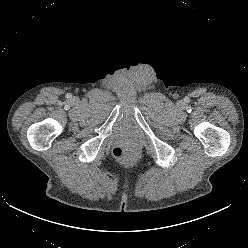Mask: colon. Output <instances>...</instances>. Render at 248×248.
I'll list each match as a JSON object with an SVG mask.
<instances>
[{
  "label": "colon",
  "mask_w": 248,
  "mask_h": 248,
  "mask_svg": "<svg viewBox=\"0 0 248 248\" xmlns=\"http://www.w3.org/2000/svg\"><path fill=\"white\" fill-rule=\"evenodd\" d=\"M114 156L120 163L125 165L134 163L137 158L135 150L130 147H117L114 150Z\"/></svg>",
  "instance_id": "obj_1"
}]
</instances>
